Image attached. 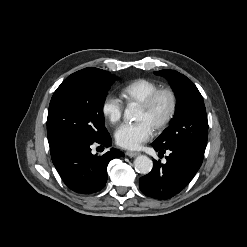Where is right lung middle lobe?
Returning a JSON list of instances; mask_svg holds the SVG:
<instances>
[{
	"label": "right lung middle lobe",
	"instance_id": "obj_1",
	"mask_svg": "<svg viewBox=\"0 0 247 247\" xmlns=\"http://www.w3.org/2000/svg\"><path fill=\"white\" fill-rule=\"evenodd\" d=\"M115 75L89 67L65 79L50 101L47 134L50 152L79 142H95L107 133L103 106Z\"/></svg>",
	"mask_w": 247,
	"mask_h": 247
}]
</instances>
